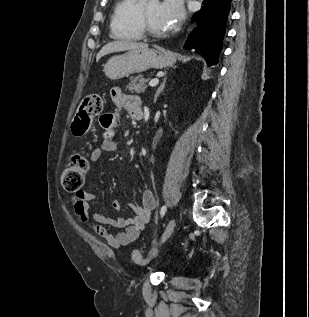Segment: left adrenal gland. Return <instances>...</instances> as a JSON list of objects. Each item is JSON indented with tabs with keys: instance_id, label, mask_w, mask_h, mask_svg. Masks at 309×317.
Segmentation results:
<instances>
[{
	"instance_id": "a2214340",
	"label": "left adrenal gland",
	"mask_w": 309,
	"mask_h": 317,
	"mask_svg": "<svg viewBox=\"0 0 309 317\" xmlns=\"http://www.w3.org/2000/svg\"><path fill=\"white\" fill-rule=\"evenodd\" d=\"M166 79L167 77H165L163 79V82L161 83L160 87L157 89L155 96H154V102H156L157 97L160 95V93L163 91L164 87H165V83H166Z\"/></svg>"
}]
</instances>
